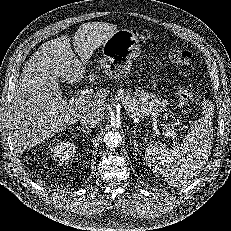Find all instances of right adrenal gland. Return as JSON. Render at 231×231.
<instances>
[{"label":"right adrenal gland","instance_id":"2a0ac1e0","mask_svg":"<svg viewBox=\"0 0 231 231\" xmlns=\"http://www.w3.org/2000/svg\"><path fill=\"white\" fill-rule=\"evenodd\" d=\"M77 130L82 132L83 134H89L90 133L89 130H85L84 128H80V127H77Z\"/></svg>","mask_w":231,"mask_h":231}]
</instances>
